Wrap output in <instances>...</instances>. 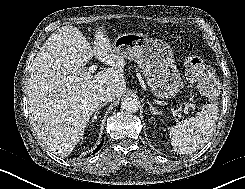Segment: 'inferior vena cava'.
I'll use <instances>...</instances> for the list:
<instances>
[{"mask_svg":"<svg viewBox=\"0 0 245 189\" xmlns=\"http://www.w3.org/2000/svg\"><path fill=\"white\" fill-rule=\"evenodd\" d=\"M115 98L114 92L111 90H102L99 94V99L103 102H109Z\"/></svg>","mask_w":245,"mask_h":189,"instance_id":"obj_1","label":"inferior vena cava"}]
</instances>
